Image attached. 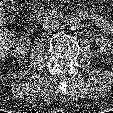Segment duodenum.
<instances>
[{
  "label": "duodenum",
  "instance_id": "duodenum-1",
  "mask_svg": "<svg viewBox=\"0 0 113 113\" xmlns=\"http://www.w3.org/2000/svg\"><path fill=\"white\" fill-rule=\"evenodd\" d=\"M36 17L42 18V19H56L58 18L57 14L51 13L46 10L39 11L36 15ZM84 18H87L86 14H82Z\"/></svg>",
  "mask_w": 113,
  "mask_h": 113
}]
</instances>
